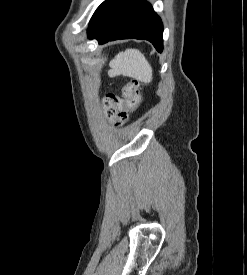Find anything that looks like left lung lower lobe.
<instances>
[{"mask_svg":"<svg viewBox=\"0 0 247 275\" xmlns=\"http://www.w3.org/2000/svg\"><path fill=\"white\" fill-rule=\"evenodd\" d=\"M163 25L145 0H106L93 14L88 38L99 44L117 39H145L158 52L163 50Z\"/></svg>","mask_w":247,"mask_h":275,"instance_id":"left-lung-lower-lobe-1","label":"left lung lower lobe"}]
</instances>
